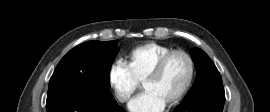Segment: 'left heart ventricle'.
<instances>
[{
  "mask_svg": "<svg viewBox=\"0 0 270 112\" xmlns=\"http://www.w3.org/2000/svg\"><path fill=\"white\" fill-rule=\"evenodd\" d=\"M189 76V63L182 55L173 56L165 65L161 75L154 81L146 83L145 92H151L166 105L183 89Z\"/></svg>",
  "mask_w": 270,
  "mask_h": 112,
  "instance_id": "1",
  "label": "left heart ventricle"
}]
</instances>
